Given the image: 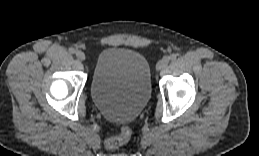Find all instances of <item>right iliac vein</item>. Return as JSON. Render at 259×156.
<instances>
[{
  "label": "right iliac vein",
  "mask_w": 259,
  "mask_h": 156,
  "mask_svg": "<svg viewBox=\"0 0 259 156\" xmlns=\"http://www.w3.org/2000/svg\"><path fill=\"white\" fill-rule=\"evenodd\" d=\"M76 57L78 58V60L80 61H84L85 60V54L82 51H77L76 52Z\"/></svg>",
  "instance_id": "obj_1"
}]
</instances>
